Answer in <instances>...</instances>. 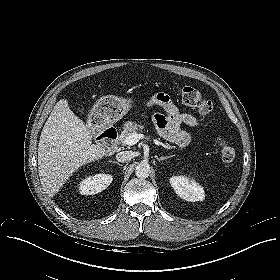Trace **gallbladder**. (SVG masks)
I'll use <instances>...</instances> for the list:
<instances>
[{"label": "gallbladder", "mask_w": 280, "mask_h": 280, "mask_svg": "<svg viewBox=\"0 0 280 280\" xmlns=\"http://www.w3.org/2000/svg\"><path fill=\"white\" fill-rule=\"evenodd\" d=\"M77 111L83 113L84 109H83V107L81 106V107H78V108H77Z\"/></svg>", "instance_id": "gallbladder-1"}]
</instances>
